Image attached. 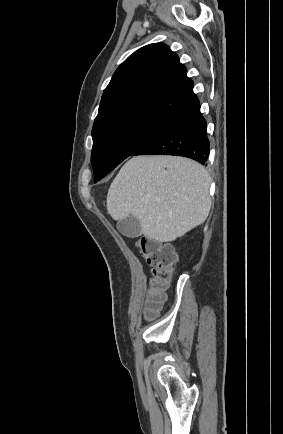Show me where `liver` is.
Returning a JSON list of instances; mask_svg holds the SVG:
<instances>
[{
	"label": "liver",
	"instance_id": "obj_1",
	"mask_svg": "<svg viewBox=\"0 0 283 434\" xmlns=\"http://www.w3.org/2000/svg\"><path fill=\"white\" fill-rule=\"evenodd\" d=\"M210 183L205 168L191 159L136 156L110 185L107 211L118 221L132 215L145 237L171 242L206 220Z\"/></svg>",
	"mask_w": 283,
	"mask_h": 434
}]
</instances>
